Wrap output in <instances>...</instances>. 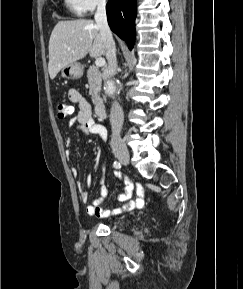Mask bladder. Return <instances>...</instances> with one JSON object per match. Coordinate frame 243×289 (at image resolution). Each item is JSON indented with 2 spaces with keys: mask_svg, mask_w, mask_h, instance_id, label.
Here are the masks:
<instances>
[{
  "mask_svg": "<svg viewBox=\"0 0 243 289\" xmlns=\"http://www.w3.org/2000/svg\"><path fill=\"white\" fill-rule=\"evenodd\" d=\"M124 222L123 221H117L116 224L122 225Z\"/></svg>",
  "mask_w": 243,
  "mask_h": 289,
  "instance_id": "obj_1",
  "label": "bladder"
}]
</instances>
